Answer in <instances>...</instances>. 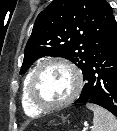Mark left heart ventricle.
<instances>
[{
	"label": "left heart ventricle",
	"instance_id": "obj_1",
	"mask_svg": "<svg viewBox=\"0 0 117 131\" xmlns=\"http://www.w3.org/2000/svg\"><path fill=\"white\" fill-rule=\"evenodd\" d=\"M75 87L73 73L62 65H49L38 74L34 92L45 104H56L70 96Z\"/></svg>",
	"mask_w": 117,
	"mask_h": 131
}]
</instances>
